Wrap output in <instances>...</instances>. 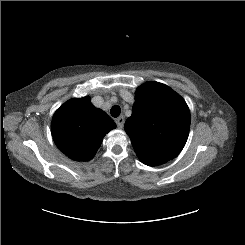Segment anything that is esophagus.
Instances as JSON below:
<instances>
[{"instance_id": "34e87169", "label": "esophagus", "mask_w": 245, "mask_h": 245, "mask_svg": "<svg viewBox=\"0 0 245 245\" xmlns=\"http://www.w3.org/2000/svg\"><path fill=\"white\" fill-rule=\"evenodd\" d=\"M115 122H116L118 128H122L124 125V122H125L124 116H120V117L116 118Z\"/></svg>"}]
</instances>
